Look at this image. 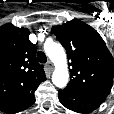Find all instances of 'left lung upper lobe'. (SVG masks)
Segmentation results:
<instances>
[{
    "label": "left lung upper lobe",
    "instance_id": "1",
    "mask_svg": "<svg viewBox=\"0 0 114 114\" xmlns=\"http://www.w3.org/2000/svg\"><path fill=\"white\" fill-rule=\"evenodd\" d=\"M52 32L72 66L66 88L106 98L113 85L114 59L98 32L77 19L52 27Z\"/></svg>",
    "mask_w": 114,
    "mask_h": 114
}]
</instances>
